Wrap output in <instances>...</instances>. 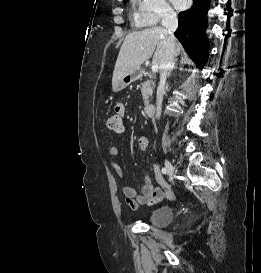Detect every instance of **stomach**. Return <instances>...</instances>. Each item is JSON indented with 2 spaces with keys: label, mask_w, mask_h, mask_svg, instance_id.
Masks as SVG:
<instances>
[{
  "label": "stomach",
  "mask_w": 261,
  "mask_h": 273,
  "mask_svg": "<svg viewBox=\"0 0 261 273\" xmlns=\"http://www.w3.org/2000/svg\"><path fill=\"white\" fill-rule=\"evenodd\" d=\"M141 75L140 69L136 70L134 73L130 75H126L117 85V87L114 88V90H121L128 86L131 82L136 81Z\"/></svg>",
  "instance_id": "0dacf381"
}]
</instances>
